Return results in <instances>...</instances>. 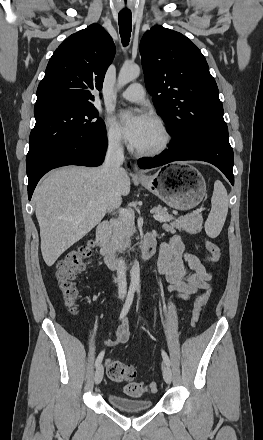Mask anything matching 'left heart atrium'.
Returning a JSON list of instances; mask_svg holds the SVG:
<instances>
[{"label": "left heart atrium", "mask_w": 263, "mask_h": 440, "mask_svg": "<svg viewBox=\"0 0 263 440\" xmlns=\"http://www.w3.org/2000/svg\"><path fill=\"white\" fill-rule=\"evenodd\" d=\"M150 123V118L140 112L125 111L119 115V126L124 137L133 146H136Z\"/></svg>", "instance_id": "1"}]
</instances>
